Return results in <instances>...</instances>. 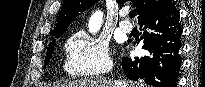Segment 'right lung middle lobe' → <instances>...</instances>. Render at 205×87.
I'll list each match as a JSON object with an SVG mask.
<instances>
[{"instance_id": "obj_1", "label": "right lung middle lobe", "mask_w": 205, "mask_h": 87, "mask_svg": "<svg viewBox=\"0 0 205 87\" xmlns=\"http://www.w3.org/2000/svg\"><path fill=\"white\" fill-rule=\"evenodd\" d=\"M54 43H55V41H53L52 44L47 49V54H46V58H45V62H44V68L47 66V64L50 61V58L52 56L53 49H54Z\"/></svg>"}]
</instances>
